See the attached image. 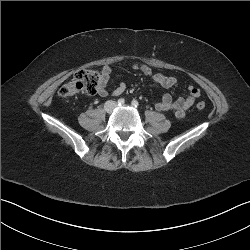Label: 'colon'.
<instances>
[{
  "label": "colon",
  "mask_w": 250,
  "mask_h": 250,
  "mask_svg": "<svg viewBox=\"0 0 250 250\" xmlns=\"http://www.w3.org/2000/svg\"><path fill=\"white\" fill-rule=\"evenodd\" d=\"M101 82V75L95 70H81L73 79L65 84L59 91L62 98H70L78 93L94 94ZM204 102H198L196 107L199 110L205 108Z\"/></svg>",
  "instance_id": "1"
}]
</instances>
